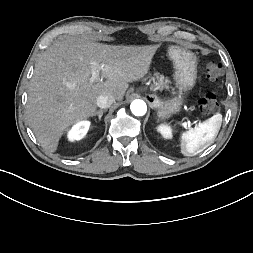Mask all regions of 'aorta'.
<instances>
[{"mask_svg": "<svg viewBox=\"0 0 253 253\" xmlns=\"http://www.w3.org/2000/svg\"><path fill=\"white\" fill-rule=\"evenodd\" d=\"M130 109L135 116H143L147 112V105L143 100L137 99L132 101Z\"/></svg>", "mask_w": 253, "mask_h": 253, "instance_id": "obj_1", "label": "aorta"}]
</instances>
